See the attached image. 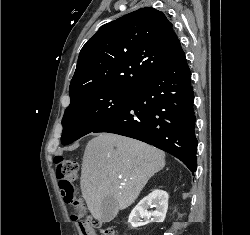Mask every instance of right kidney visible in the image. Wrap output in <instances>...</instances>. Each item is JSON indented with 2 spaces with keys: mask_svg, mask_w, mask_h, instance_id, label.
<instances>
[{
  "mask_svg": "<svg viewBox=\"0 0 250 235\" xmlns=\"http://www.w3.org/2000/svg\"><path fill=\"white\" fill-rule=\"evenodd\" d=\"M155 207L150 212L148 208ZM168 209V193L166 191L155 189L148 196L144 197L132 210L128 222L133 228L147 224V222H163ZM142 219H145L143 222Z\"/></svg>",
  "mask_w": 250,
  "mask_h": 235,
  "instance_id": "ca27d5eb",
  "label": "right kidney"
}]
</instances>
